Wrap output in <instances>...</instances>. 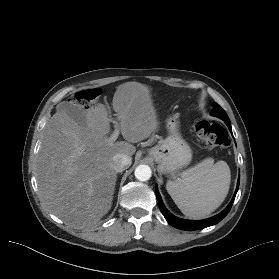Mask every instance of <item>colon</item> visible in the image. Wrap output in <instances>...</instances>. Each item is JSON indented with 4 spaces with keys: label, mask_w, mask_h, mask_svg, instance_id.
Wrapping results in <instances>:
<instances>
[{
    "label": "colon",
    "mask_w": 279,
    "mask_h": 279,
    "mask_svg": "<svg viewBox=\"0 0 279 279\" xmlns=\"http://www.w3.org/2000/svg\"><path fill=\"white\" fill-rule=\"evenodd\" d=\"M99 96V89H89L79 93L75 97V102L82 107L89 108L98 100ZM194 131L208 148H225L229 145L228 132L219 123L199 120L194 124Z\"/></svg>",
    "instance_id": "colon-1"
}]
</instances>
